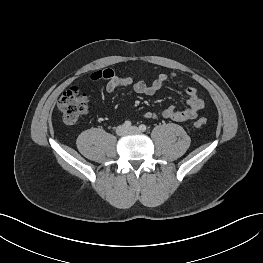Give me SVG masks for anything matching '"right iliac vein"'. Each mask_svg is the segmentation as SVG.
Wrapping results in <instances>:
<instances>
[{
    "mask_svg": "<svg viewBox=\"0 0 263 263\" xmlns=\"http://www.w3.org/2000/svg\"><path fill=\"white\" fill-rule=\"evenodd\" d=\"M127 132V128L124 125H120L116 129L118 135H124Z\"/></svg>",
    "mask_w": 263,
    "mask_h": 263,
    "instance_id": "obj_1",
    "label": "right iliac vein"
}]
</instances>
